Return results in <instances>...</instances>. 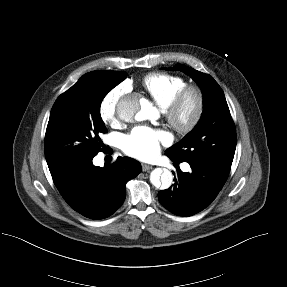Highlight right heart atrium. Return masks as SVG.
<instances>
[{
	"mask_svg": "<svg viewBox=\"0 0 287 287\" xmlns=\"http://www.w3.org/2000/svg\"><path fill=\"white\" fill-rule=\"evenodd\" d=\"M127 86L120 84L109 91L101 100L99 115L101 120L108 125H115L118 122V106L121 98L127 92Z\"/></svg>",
	"mask_w": 287,
	"mask_h": 287,
	"instance_id": "d8ad5b80",
	"label": "right heart atrium"
}]
</instances>
